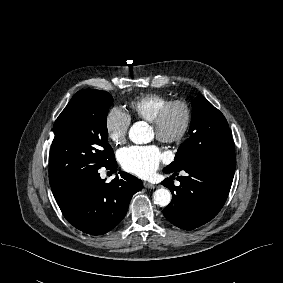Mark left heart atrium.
Returning <instances> with one entry per match:
<instances>
[{
    "instance_id": "1",
    "label": "left heart atrium",
    "mask_w": 283,
    "mask_h": 283,
    "mask_svg": "<svg viewBox=\"0 0 283 283\" xmlns=\"http://www.w3.org/2000/svg\"><path fill=\"white\" fill-rule=\"evenodd\" d=\"M163 160V153L156 145L130 146L119 152L122 168L139 177L150 176Z\"/></svg>"
}]
</instances>
